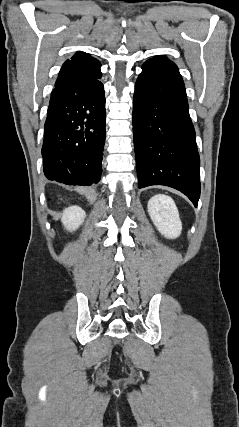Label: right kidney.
Segmentation results:
<instances>
[{"mask_svg": "<svg viewBox=\"0 0 239 427\" xmlns=\"http://www.w3.org/2000/svg\"><path fill=\"white\" fill-rule=\"evenodd\" d=\"M85 211L78 206H70L63 211L61 222L68 231H75L84 222Z\"/></svg>", "mask_w": 239, "mask_h": 427, "instance_id": "ca27d5eb", "label": "right kidney"}]
</instances>
